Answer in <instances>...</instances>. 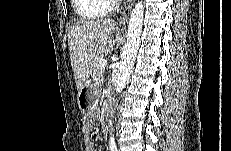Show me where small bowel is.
Returning <instances> with one entry per match:
<instances>
[{
    "label": "small bowel",
    "instance_id": "obj_1",
    "mask_svg": "<svg viewBox=\"0 0 231 151\" xmlns=\"http://www.w3.org/2000/svg\"><path fill=\"white\" fill-rule=\"evenodd\" d=\"M91 130H92V119H87L83 124L85 151H94L93 142L90 137Z\"/></svg>",
    "mask_w": 231,
    "mask_h": 151
}]
</instances>
